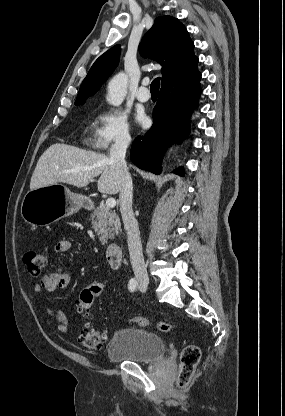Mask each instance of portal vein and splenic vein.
<instances>
[{"instance_id": "obj_1", "label": "portal vein and splenic vein", "mask_w": 285, "mask_h": 416, "mask_svg": "<svg viewBox=\"0 0 285 416\" xmlns=\"http://www.w3.org/2000/svg\"><path fill=\"white\" fill-rule=\"evenodd\" d=\"M106 206L107 208H114V206H116V200H114V198H108V200H106Z\"/></svg>"}]
</instances>
